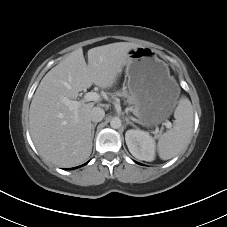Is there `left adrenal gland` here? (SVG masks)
<instances>
[{
	"instance_id": "a2214340",
	"label": "left adrenal gland",
	"mask_w": 227,
	"mask_h": 227,
	"mask_svg": "<svg viewBox=\"0 0 227 227\" xmlns=\"http://www.w3.org/2000/svg\"><path fill=\"white\" fill-rule=\"evenodd\" d=\"M125 121H126V124L136 127L135 124L133 122H131L127 117L125 118Z\"/></svg>"
}]
</instances>
